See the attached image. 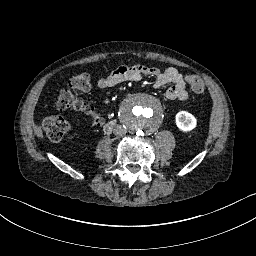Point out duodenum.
<instances>
[{"instance_id":"duodenum-1","label":"duodenum","mask_w":256,"mask_h":256,"mask_svg":"<svg viewBox=\"0 0 256 256\" xmlns=\"http://www.w3.org/2000/svg\"><path fill=\"white\" fill-rule=\"evenodd\" d=\"M116 125H117L116 120H109L105 122V124L103 125V131L106 134H110Z\"/></svg>"}]
</instances>
